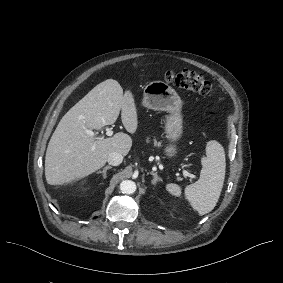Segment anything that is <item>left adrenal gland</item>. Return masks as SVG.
<instances>
[{"label":"left adrenal gland","mask_w":283,"mask_h":283,"mask_svg":"<svg viewBox=\"0 0 283 283\" xmlns=\"http://www.w3.org/2000/svg\"><path fill=\"white\" fill-rule=\"evenodd\" d=\"M148 174H151L153 176L151 182L155 183L157 180H162V177L158 176L156 172L150 171Z\"/></svg>","instance_id":"1"}]
</instances>
